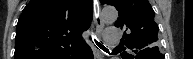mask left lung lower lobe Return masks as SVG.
<instances>
[{
	"mask_svg": "<svg viewBox=\"0 0 193 59\" xmlns=\"http://www.w3.org/2000/svg\"><path fill=\"white\" fill-rule=\"evenodd\" d=\"M137 59H163L164 56L159 52L158 48H148L139 51L136 55Z\"/></svg>",
	"mask_w": 193,
	"mask_h": 59,
	"instance_id": "left-lung-lower-lobe-1",
	"label": "left lung lower lobe"
}]
</instances>
